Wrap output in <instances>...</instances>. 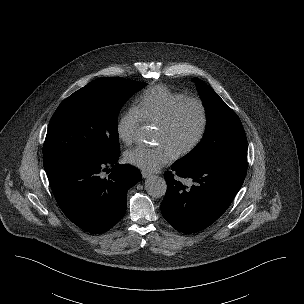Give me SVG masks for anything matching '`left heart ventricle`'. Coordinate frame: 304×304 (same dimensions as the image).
Returning <instances> with one entry per match:
<instances>
[{"instance_id":"left-heart-ventricle-1","label":"left heart ventricle","mask_w":304,"mask_h":304,"mask_svg":"<svg viewBox=\"0 0 304 304\" xmlns=\"http://www.w3.org/2000/svg\"><path fill=\"white\" fill-rule=\"evenodd\" d=\"M200 123L198 107L189 103L184 105L178 112L171 127L163 130L158 127L156 142L165 144L174 151L186 145L195 136Z\"/></svg>"}]
</instances>
